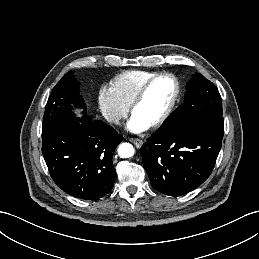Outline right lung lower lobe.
<instances>
[{"instance_id": "1", "label": "right lung lower lobe", "mask_w": 259, "mask_h": 259, "mask_svg": "<svg viewBox=\"0 0 259 259\" xmlns=\"http://www.w3.org/2000/svg\"><path fill=\"white\" fill-rule=\"evenodd\" d=\"M122 140L102 121L61 119L42 134V154L59 188L76 198L97 200L113 187L112 155Z\"/></svg>"}]
</instances>
